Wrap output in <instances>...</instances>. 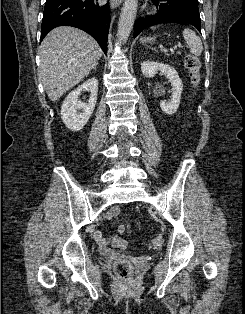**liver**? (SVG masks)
<instances>
[{"instance_id": "liver-1", "label": "liver", "mask_w": 245, "mask_h": 314, "mask_svg": "<svg viewBox=\"0 0 245 314\" xmlns=\"http://www.w3.org/2000/svg\"><path fill=\"white\" fill-rule=\"evenodd\" d=\"M102 49L86 32L73 27H57L40 46L39 78L50 100L76 86L98 64Z\"/></svg>"}]
</instances>
